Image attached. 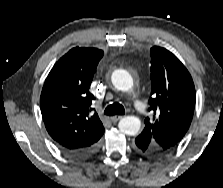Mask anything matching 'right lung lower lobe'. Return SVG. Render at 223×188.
<instances>
[{"label": "right lung lower lobe", "mask_w": 223, "mask_h": 188, "mask_svg": "<svg viewBox=\"0 0 223 188\" xmlns=\"http://www.w3.org/2000/svg\"><path fill=\"white\" fill-rule=\"evenodd\" d=\"M59 146V145H58ZM98 147V143H95L86 148H79V149H68L59 146V148L68 156L75 158V159H85L91 156Z\"/></svg>", "instance_id": "right-lung-lower-lobe-1"}]
</instances>
